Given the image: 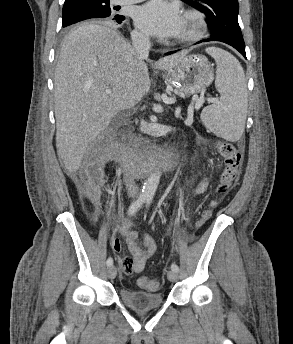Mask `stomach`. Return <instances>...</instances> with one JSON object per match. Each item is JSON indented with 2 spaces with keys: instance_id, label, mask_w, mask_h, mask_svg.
I'll return each instance as SVG.
<instances>
[{
  "instance_id": "obj_1",
  "label": "stomach",
  "mask_w": 293,
  "mask_h": 344,
  "mask_svg": "<svg viewBox=\"0 0 293 344\" xmlns=\"http://www.w3.org/2000/svg\"><path fill=\"white\" fill-rule=\"evenodd\" d=\"M165 79L185 95L199 93L213 81V68L204 55H185Z\"/></svg>"
}]
</instances>
